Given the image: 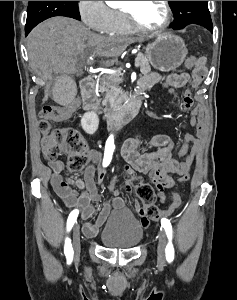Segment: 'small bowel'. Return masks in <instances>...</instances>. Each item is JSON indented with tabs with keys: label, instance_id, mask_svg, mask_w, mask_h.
I'll return each instance as SVG.
<instances>
[{
	"label": "small bowel",
	"instance_id": "small-bowel-1",
	"mask_svg": "<svg viewBox=\"0 0 237 300\" xmlns=\"http://www.w3.org/2000/svg\"><path fill=\"white\" fill-rule=\"evenodd\" d=\"M206 76V60L202 58L194 66L191 76L188 73H174L166 76L151 73L144 76L138 83V90L140 91L148 90L160 82L172 88L187 86L183 99V109L189 113L191 127L196 129V133L185 135L183 145L177 156L174 155V143L171 137L166 134L156 135L150 140L149 147L154 148L153 150L145 148L140 132L125 141L124 159L133 169L149 175L156 186L159 198L164 197L166 188L173 186L172 175L188 173L197 153L205 123L202 107L194 106L191 88L198 87ZM79 105V98H75L64 106L52 107L50 119L55 121L68 119ZM190 145H193L191 150H189ZM64 153L70 155L68 151ZM89 153L91 163L85 168L83 178L63 176L65 165L61 160L50 161L49 167L51 169L50 183L54 191L63 200L66 207L80 211L81 217L86 221L84 232L87 236L92 237L98 232L112 210H120L124 207V201L119 189L116 188V177H113L109 185L111 198L103 204L97 213L95 203L101 200L98 185L103 181L106 171L103 168L102 153L95 149L90 150ZM179 205L180 200H174L167 210L161 212V215H171ZM135 209L140 216L142 226L147 227L150 219L145 215L144 208L136 203Z\"/></svg>",
	"mask_w": 237,
	"mask_h": 300
}]
</instances>
